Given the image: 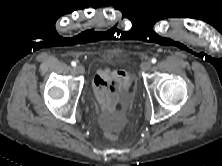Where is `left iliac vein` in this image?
Wrapping results in <instances>:
<instances>
[{"label":"left iliac vein","instance_id":"obj_1","mask_svg":"<svg viewBox=\"0 0 222 166\" xmlns=\"http://www.w3.org/2000/svg\"><path fill=\"white\" fill-rule=\"evenodd\" d=\"M151 67H152V64H151L150 61H145V62H143V63L141 64V69H142L143 71H148V70L151 69Z\"/></svg>","mask_w":222,"mask_h":166}]
</instances>
